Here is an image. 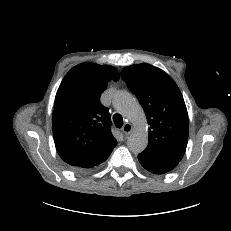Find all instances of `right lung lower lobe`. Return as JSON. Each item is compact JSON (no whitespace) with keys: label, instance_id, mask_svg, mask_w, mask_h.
I'll return each instance as SVG.
<instances>
[{"label":"right lung lower lobe","instance_id":"right-lung-lower-lobe-1","mask_svg":"<svg viewBox=\"0 0 231 231\" xmlns=\"http://www.w3.org/2000/svg\"><path fill=\"white\" fill-rule=\"evenodd\" d=\"M111 152H109L107 155L103 156L102 158H100L99 160H97L95 162H87V163L77 164V165L73 166V168L81 170V169H88V168H92L94 166H98L99 164L104 162L109 157Z\"/></svg>","mask_w":231,"mask_h":231}]
</instances>
